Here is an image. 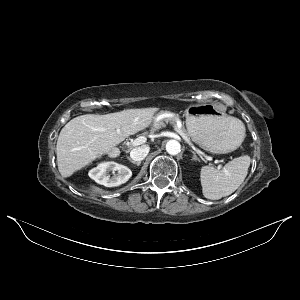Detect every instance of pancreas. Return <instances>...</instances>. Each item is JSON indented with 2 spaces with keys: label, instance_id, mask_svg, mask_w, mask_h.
<instances>
[{
  "label": "pancreas",
  "instance_id": "cf45deb5",
  "mask_svg": "<svg viewBox=\"0 0 300 300\" xmlns=\"http://www.w3.org/2000/svg\"><path fill=\"white\" fill-rule=\"evenodd\" d=\"M164 121L174 123L172 119H165ZM160 123H162V122H160ZM180 131H182L186 136H188V133L186 132V130L183 127L180 128Z\"/></svg>",
  "mask_w": 300,
  "mask_h": 300
}]
</instances>
